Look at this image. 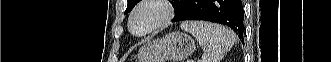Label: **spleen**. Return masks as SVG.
Returning a JSON list of instances; mask_svg holds the SVG:
<instances>
[{
    "instance_id": "obj_1",
    "label": "spleen",
    "mask_w": 331,
    "mask_h": 62,
    "mask_svg": "<svg viewBox=\"0 0 331 62\" xmlns=\"http://www.w3.org/2000/svg\"><path fill=\"white\" fill-rule=\"evenodd\" d=\"M181 29L192 34L203 48L202 62H220L235 42L234 34L219 24L185 21Z\"/></svg>"
}]
</instances>
